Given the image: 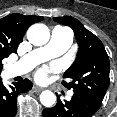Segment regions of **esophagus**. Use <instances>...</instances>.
Returning a JSON list of instances; mask_svg holds the SVG:
<instances>
[{
  "label": "esophagus",
  "instance_id": "obj_1",
  "mask_svg": "<svg viewBox=\"0 0 117 117\" xmlns=\"http://www.w3.org/2000/svg\"><path fill=\"white\" fill-rule=\"evenodd\" d=\"M33 90H34L35 92H41V91L43 90V88H40V87H38V86H34V87H33Z\"/></svg>",
  "mask_w": 117,
  "mask_h": 117
}]
</instances>
